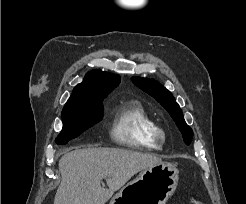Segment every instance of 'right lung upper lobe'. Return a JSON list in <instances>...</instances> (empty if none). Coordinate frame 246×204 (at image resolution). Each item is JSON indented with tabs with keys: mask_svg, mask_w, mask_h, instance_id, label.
<instances>
[{
	"mask_svg": "<svg viewBox=\"0 0 246 204\" xmlns=\"http://www.w3.org/2000/svg\"><path fill=\"white\" fill-rule=\"evenodd\" d=\"M120 83V77L101 70H93L86 74L82 83L72 92L66 105L83 103L94 97L107 96Z\"/></svg>",
	"mask_w": 246,
	"mask_h": 204,
	"instance_id": "1",
	"label": "right lung upper lobe"
}]
</instances>
